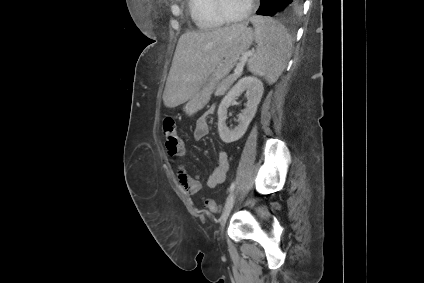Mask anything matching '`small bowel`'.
<instances>
[{"instance_id":"1","label":"small bowel","mask_w":424,"mask_h":283,"mask_svg":"<svg viewBox=\"0 0 424 283\" xmlns=\"http://www.w3.org/2000/svg\"><path fill=\"white\" fill-rule=\"evenodd\" d=\"M215 107L212 106L204 115L199 117L196 120L194 129H193V137L196 140H200L204 138L209 133V125L207 121V117L209 114H211L214 111ZM167 152L172 157H181L184 153V146H183V153L182 154H175L172 155L171 146H168L165 144ZM230 160H229V154L227 151H220L218 154V160L217 165L213 169V171L210 173V175L207 177L206 185L209 188H215L220 184H223L226 181L227 173L229 170ZM176 176L179 184L184 189V191L188 195H194L197 192H199L202 188V183L199 180L198 177L191 175L185 165L183 163H180L176 170Z\"/></svg>"}]
</instances>
